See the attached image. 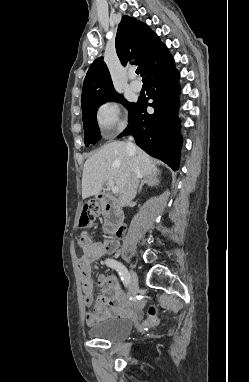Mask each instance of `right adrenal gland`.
<instances>
[{
    "instance_id": "1",
    "label": "right adrenal gland",
    "mask_w": 249,
    "mask_h": 382,
    "mask_svg": "<svg viewBox=\"0 0 249 382\" xmlns=\"http://www.w3.org/2000/svg\"><path fill=\"white\" fill-rule=\"evenodd\" d=\"M145 183H147L151 186L157 185L159 183L157 175H150V176L144 177V179H142V181L139 185L138 193L141 192L142 187Z\"/></svg>"
}]
</instances>
